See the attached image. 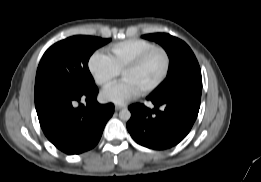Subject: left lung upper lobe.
I'll return each instance as SVG.
<instances>
[{
    "instance_id": "obj_1",
    "label": "left lung upper lobe",
    "mask_w": 261,
    "mask_h": 182,
    "mask_svg": "<svg viewBox=\"0 0 261 182\" xmlns=\"http://www.w3.org/2000/svg\"><path fill=\"white\" fill-rule=\"evenodd\" d=\"M142 37L159 43L170 60L166 79L149 96L156 100H165L182 92L202 90L198 61L185 42L166 33L147 34Z\"/></svg>"
}]
</instances>
